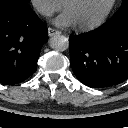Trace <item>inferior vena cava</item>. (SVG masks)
I'll return each mask as SVG.
<instances>
[{
    "label": "inferior vena cava",
    "mask_w": 128,
    "mask_h": 128,
    "mask_svg": "<svg viewBox=\"0 0 128 128\" xmlns=\"http://www.w3.org/2000/svg\"><path fill=\"white\" fill-rule=\"evenodd\" d=\"M36 9L42 15H50L52 13L51 8L45 4H39L36 6Z\"/></svg>",
    "instance_id": "1"
}]
</instances>
